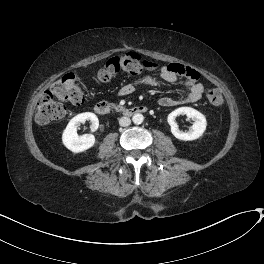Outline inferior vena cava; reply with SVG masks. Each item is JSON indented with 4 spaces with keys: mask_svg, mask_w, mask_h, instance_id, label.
<instances>
[{
    "mask_svg": "<svg viewBox=\"0 0 264 264\" xmlns=\"http://www.w3.org/2000/svg\"><path fill=\"white\" fill-rule=\"evenodd\" d=\"M130 123H131V120L128 117H121L119 119V125L122 126V127L129 126Z\"/></svg>",
    "mask_w": 264,
    "mask_h": 264,
    "instance_id": "inferior-vena-cava-1",
    "label": "inferior vena cava"
}]
</instances>
